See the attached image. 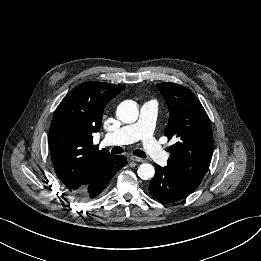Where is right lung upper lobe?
Here are the masks:
<instances>
[{"label": "right lung upper lobe", "instance_id": "1", "mask_svg": "<svg viewBox=\"0 0 261 261\" xmlns=\"http://www.w3.org/2000/svg\"><path fill=\"white\" fill-rule=\"evenodd\" d=\"M125 86L85 82L68 93L57 107L49 130V147L55 172L74 193L87 185L97 166L111 156L93 145L92 134L102 125L106 104Z\"/></svg>", "mask_w": 261, "mask_h": 261}]
</instances>
